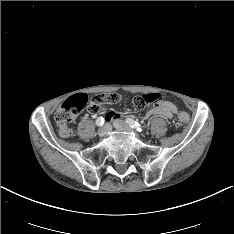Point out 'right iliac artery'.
<instances>
[{
    "label": "right iliac artery",
    "instance_id": "1",
    "mask_svg": "<svg viewBox=\"0 0 234 234\" xmlns=\"http://www.w3.org/2000/svg\"><path fill=\"white\" fill-rule=\"evenodd\" d=\"M104 124V118L103 117H98L96 120V125L97 126H102Z\"/></svg>",
    "mask_w": 234,
    "mask_h": 234
}]
</instances>
